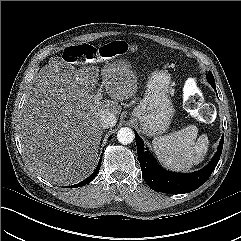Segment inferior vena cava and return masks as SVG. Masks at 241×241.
<instances>
[{
    "label": "inferior vena cava",
    "instance_id": "inferior-vena-cava-1",
    "mask_svg": "<svg viewBox=\"0 0 241 241\" xmlns=\"http://www.w3.org/2000/svg\"><path fill=\"white\" fill-rule=\"evenodd\" d=\"M117 122L116 116L113 113L106 112L100 116V124L103 129L113 127Z\"/></svg>",
    "mask_w": 241,
    "mask_h": 241
}]
</instances>
